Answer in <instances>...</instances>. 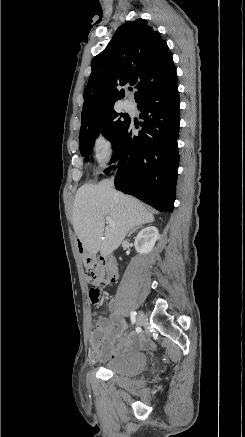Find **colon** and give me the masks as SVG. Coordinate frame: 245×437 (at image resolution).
Returning <instances> with one entry per match:
<instances>
[{"label":"colon","mask_w":245,"mask_h":437,"mask_svg":"<svg viewBox=\"0 0 245 437\" xmlns=\"http://www.w3.org/2000/svg\"><path fill=\"white\" fill-rule=\"evenodd\" d=\"M85 276L89 284L93 285L90 290V298L93 304L101 300V288L113 284L118 279V267L114 257L90 256L85 259Z\"/></svg>","instance_id":"1"}]
</instances>
